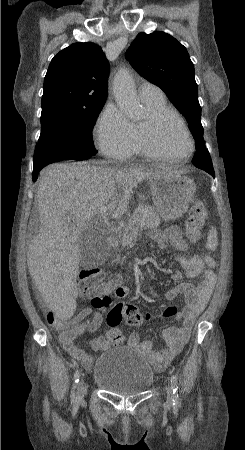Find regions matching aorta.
Masks as SVG:
<instances>
[{
	"label": "aorta",
	"mask_w": 245,
	"mask_h": 450,
	"mask_svg": "<svg viewBox=\"0 0 245 450\" xmlns=\"http://www.w3.org/2000/svg\"><path fill=\"white\" fill-rule=\"evenodd\" d=\"M113 93L120 110L130 120H139L142 109L136 97L132 75L126 69H121L116 74L113 81Z\"/></svg>",
	"instance_id": "762f6f07"
}]
</instances>
